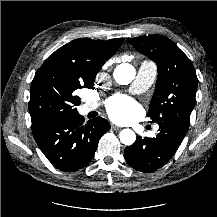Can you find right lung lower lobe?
Masks as SVG:
<instances>
[{"mask_svg":"<svg viewBox=\"0 0 217 217\" xmlns=\"http://www.w3.org/2000/svg\"><path fill=\"white\" fill-rule=\"evenodd\" d=\"M110 129L97 117L84 123L79 113L32 123L33 136L46 158L62 171H77L94 156L101 136Z\"/></svg>","mask_w":217,"mask_h":217,"instance_id":"98d812e1","label":"right lung lower lobe"}]
</instances>
